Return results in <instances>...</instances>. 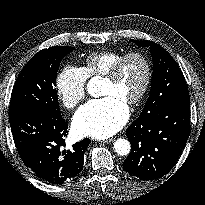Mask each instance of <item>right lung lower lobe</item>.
<instances>
[{
    "label": "right lung lower lobe",
    "mask_w": 205,
    "mask_h": 205,
    "mask_svg": "<svg viewBox=\"0 0 205 205\" xmlns=\"http://www.w3.org/2000/svg\"><path fill=\"white\" fill-rule=\"evenodd\" d=\"M14 142L24 164L40 179L50 184H62L74 179L82 170L89 139L65 150L67 123L29 110L9 111Z\"/></svg>",
    "instance_id": "98d812e1"
}]
</instances>
